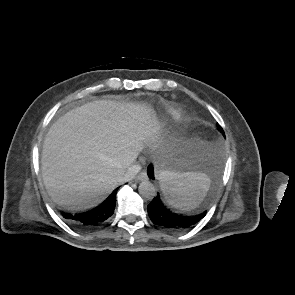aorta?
Here are the masks:
<instances>
[{
  "mask_svg": "<svg viewBox=\"0 0 295 295\" xmlns=\"http://www.w3.org/2000/svg\"><path fill=\"white\" fill-rule=\"evenodd\" d=\"M139 194L147 200H151L156 196V188L150 181H142L139 185Z\"/></svg>",
  "mask_w": 295,
  "mask_h": 295,
  "instance_id": "obj_1",
  "label": "aorta"
}]
</instances>
